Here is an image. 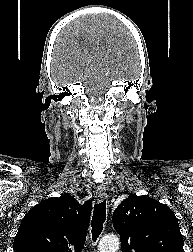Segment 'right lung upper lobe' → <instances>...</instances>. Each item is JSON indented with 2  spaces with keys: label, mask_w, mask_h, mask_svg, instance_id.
Segmentation results:
<instances>
[{
  "label": "right lung upper lobe",
  "mask_w": 193,
  "mask_h": 252,
  "mask_svg": "<svg viewBox=\"0 0 193 252\" xmlns=\"http://www.w3.org/2000/svg\"><path fill=\"white\" fill-rule=\"evenodd\" d=\"M91 210L90 200L80 205L69 194L41 201L23 218L14 252H80Z\"/></svg>",
  "instance_id": "cb5924a9"
}]
</instances>
